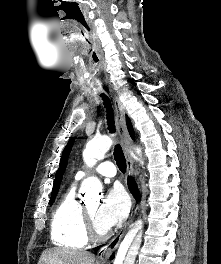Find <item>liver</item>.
Here are the masks:
<instances>
[{
	"instance_id": "6515ba94",
	"label": "liver",
	"mask_w": 221,
	"mask_h": 264,
	"mask_svg": "<svg viewBox=\"0 0 221 264\" xmlns=\"http://www.w3.org/2000/svg\"><path fill=\"white\" fill-rule=\"evenodd\" d=\"M95 257L87 251L53 248L43 251L38 264H94Z\"/></svg>"
}]
</instances>
